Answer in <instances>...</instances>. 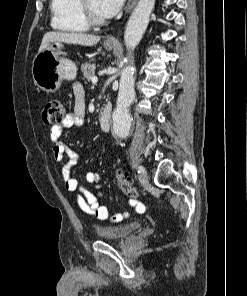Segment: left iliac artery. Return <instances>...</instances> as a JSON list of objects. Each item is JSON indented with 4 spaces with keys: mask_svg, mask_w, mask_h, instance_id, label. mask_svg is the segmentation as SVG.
<instances>
[{
    "mask_svg": "<svg viewBox=\"0 0 247 296\" xmlns=\"http://www.w3.org/2000/svg\"><path fill=\"white\" fill-rule=\"evenodd\" d=\"M144 171V167L143 166H139L138 167V173H142Z\"/></svg>",
    "mask_w": 247,
    "mask_h": 296,
    "instance_id": "left-iliac-artery-1",
    "label": "left iliac artery"
}]
</instances>
